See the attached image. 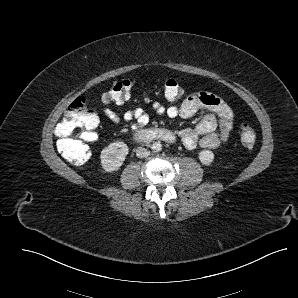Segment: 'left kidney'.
Instances as JSON below:
<instances>
[{
  "label": "left kidney",
  "mask_w": 298,
  "mask_h": 298,
  "mask_svg": "<svg viewBox=\"0 0 298 298\" xmlns=\"http://www.w3.org/2000/svg\"><path fill=\"white\" fill-rule=\"evenodd\" d=\"M200 159L203 163L208 164L213 159V153L211 151L205 150L200 153Z\"/></svg>",
  "instance_id": "5707ae66"
}]
</instances>
